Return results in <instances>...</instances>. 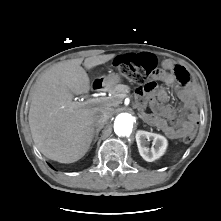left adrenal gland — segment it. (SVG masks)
Returning a JSON list of instances; mask_svg holds the SVG:
<instances>
[{
    "mask_svg": "<svg viewBox=\"0 0 221 221\" xmlns=\"http://www.w3.org/2000/svg\"><path fill=\"white\" fill-rule=\"evenodd\" d=\"M144 122H146L145 118L143 116H139Z\"/></svg>",
    "mask_w": 221,
    "mask_h": 221,
    "instance_id": "a2214340",
    "label": "left adrenal gland"
}]
</instances>
